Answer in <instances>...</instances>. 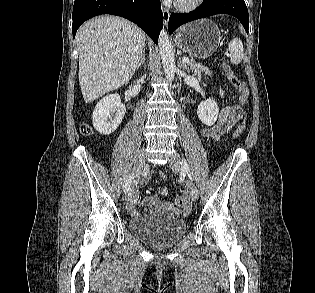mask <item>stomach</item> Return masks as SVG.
I'll return each mask as SVG.
<instances>
[{"mask_svg":"<svg viewBox=\"0 0 315 293\" xmlns=\"http://www.w3.org/2000/svg\"><path fill=\"white\" fill-rule=\"evenodd\" d=\"M221 41L218 26L201 19L182 26L175 34L176 45L184 52L198 59H206L214 54Z\"/></svg>","mask_w":315,"mask_h":293,"instance_id":"stomach-1","label":"stomach"}]
</instances>
